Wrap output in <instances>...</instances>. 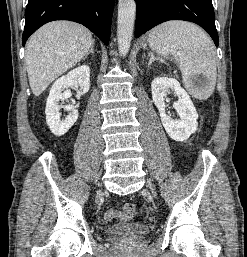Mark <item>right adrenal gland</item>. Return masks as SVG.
Wrapping results in <instances>:
<instances>
[{
  "label": "right adrenal gland",
  "mask_w": 247,
  "mask_h": 257,
  "mask_svg": "<svg viewBox=\"0 0 247 257\" xmlns=\"http://www.w3.org/2000/svg\"><path fill=\"white\" fill-rule=\"evenodd\" d=\"M90 53L94 54V44L91 46V49L89 50V52L85 55V57L83 59L85 60Z\"/></svg>",
  "instance_id": "2a0ac1e0"
}]
</instances>
